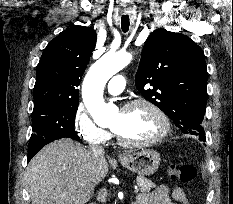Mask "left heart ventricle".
<instances>
[{
    "label": "left heart ventricle",
    "mask_w": 233,
    "mask_h": 204,
    "mask_svg": "<svg viewBox=\"0 0 233 204\" xmlns=\"http://www.w3.org/2000/svg\"><path fill=\"white\" fill-rule=\"evenodd\" d=\"M161 127L158 117L145 106L120 110L111 122V129L130 141L151 139L160 132Z\"/></svg>",
    "instance_id": "1"
}]
</instances>
